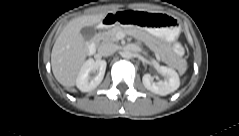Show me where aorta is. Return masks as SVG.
Listing matches in <instances>:
<instances>
[{
	"instance_id": "obj_1",
	"label": "aorta",
	"mask_w": 239,
	"mask_h": 136,
	"mask_svg": "<svg viewBox=\"0 0 239 136\" xmlns=\"http://www.w3.org/2000/svg\"><path fill=\"white\" fill-rule=\"evenodd\" d=\"M121 56L125 59H130L132 57V53L130 50L125 49L123 50V52L121 53Z\"/></svg>"
}]
</instances>
